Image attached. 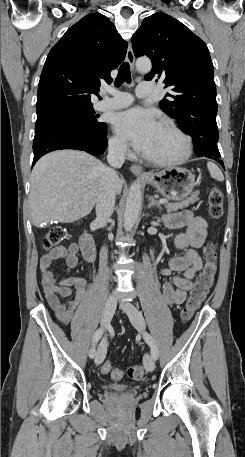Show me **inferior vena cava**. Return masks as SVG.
Returning <instances> with one entry per match:
<instances>
[{"label":"inferior vena cava","mask_w":245,"mask_h":457,"mask_svg":"<svg viewBox=\"0 0 245 457\" xmlns=\"http://www.w3.org/2000/svg\"><path fill=\"white\" fill-rule=\"evenodd\" d=\"M127 144L125 138H118L115 142H110L107 160L114 168H121L125 160ZM114 168L101 166L98 178V194L96 202V218L94 222L105 226L107 218L111 216L115 204V188L118 174Z\"/></svg>","instance_id":"inferior-vena-cava-1"}]
</instances>
